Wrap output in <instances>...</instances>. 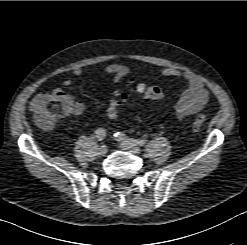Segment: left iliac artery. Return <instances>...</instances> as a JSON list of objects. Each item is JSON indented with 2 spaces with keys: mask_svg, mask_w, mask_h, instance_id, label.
I'll return each mask as SVG.
<instances>
[{
  "mask_svg": "<svg viewBox=\"0 0 247 245\" xmlns=\"http://www.w3.org/2000/svg\"><path fill=\"white\" fill-rule=\"evenodd\" d=\"M114 136L116 137V139L118 141L126 142V143H129V144H132V145L143 146L147 141L146 139L129 138L128 136H126L122 132H116L114 134Z\"/></svg>",
  "mask_w": 247,
  "mask_h": 245,
  "instance_id": "left-iliac-artery-1",
  "label": "left iliac artery"
}]
</instances>
